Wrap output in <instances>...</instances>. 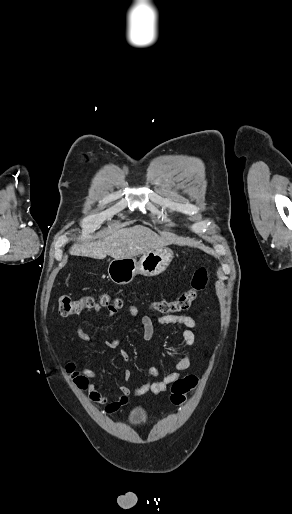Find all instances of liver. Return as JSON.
<instances>
[{
  "label": "liver",
  "instance_id": "liver-1",
  "mask_svg": "<svg viewBox=\"0 0 292 514\" xmlns=\"http://www.w3.org/2000/svg\"><path fill=\"white\" fill-rule=\"evenodd\" d=\"M167 244H169L168 238H160L145 226H133V228H122L118 232H113L111 236L102 238L98 242L74 244L70 254L96 258V260H104L106 256L121 260V258H133L139 254H146L156 248H164Z\"/></svg>",
  "mask_w": 292,
  "mask_h": 514
}]
</instances>
